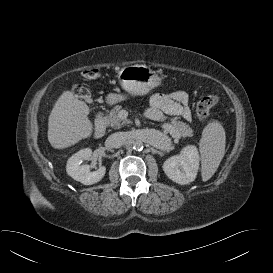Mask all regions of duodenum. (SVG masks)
<instances>
[{"label": "duodenum", "mask_w": 273, "mask_h": 273, "mask_svg": "<svg viewBox=\"0 0 273 273\" xmlns=\"http://www.w3.org/2000/svg\"><path fill=\"white\" fill-rule=\"evenodd\" d=\"M107 120L103 115H99L94 128V137L100 139L106 132Z\"/></svg>", "instance_id": "duodenum-1"}]
</instances>
